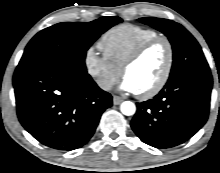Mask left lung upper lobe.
Instances as JSON below:
<instances>
[{
  "label": "left lung upper lobe",
  "mask_w": 220,
  "mask_h": 173,
  "mask_svg": "<svg viewBox=\"0 0 220 173\" xmlns=\"http://www.w3.org/2000/svg\"><path fill=\"white\" fill-rule=\"evenodd\" d=\"M139 21L163 32L172 44L173 65L167 83L184 76L210 74L200 45L182 25L155 17L140 18Z\"/></svg>",
  "instance_id": "5c2ea615"
}]
</instances>
